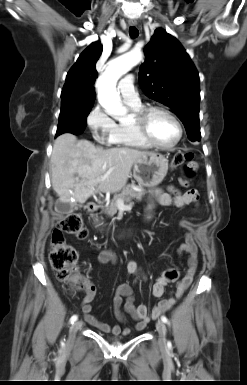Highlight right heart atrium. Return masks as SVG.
<instances>
[{"label":"right heart atrium","instance_id":"d8ad5b80","mask_svg":"<svg viewBox=\"0 0 247 385\" xmlns=\"http://www.w3.org/2000/svg\"><path fill=\"white\" fill-rule=\"evenodd\" d=\"M114 120L97 104L87 116V125L93 138L100 143H111V136L115 128Z\"/></svg>","mask_w":247,"mask_h":385}]
</instances>
